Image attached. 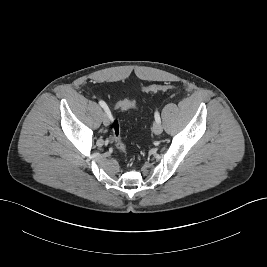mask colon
Here are the masks:
<instances>
[{"instance_id": "5ec220e1", "label": "colon", "mask_w": 267, "mask_h": 267, "mask_svg": "<svg viewBox=\"0 0 267 267\" xmlns=\"http://www.w3.org/2000/svg\"><path fill=\"white\" fill-rule=\"evenodd\" d=\"M173 88L170 85H149V86H144L142 89L144 91H151V92H155V91H159V90H167V89H171ZM116 109H120V110H130V109H135L137 106L134 102L132 101H127V100H123V101H119L116 103L115 105ZM112 134H113V138L115 140V144L116 147L123 153L126 152V145L123 143L122 139H121V123L118 119H114L112 122Z\"/></svg>"}]
</instances>
